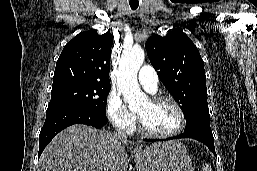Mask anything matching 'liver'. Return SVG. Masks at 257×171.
Returning a JSON list of instances; mask_svg holds the SVG:
<instances>
[{"label":"liver","instance_id":"obj_1","mask_svg":"<svg viewBox=\"0 0 257 171\" xmlns=\"http://www.w3.org/2000/svg\"><path fill=\"white\" fill-rule=\"evenodd\" d=\"M128 143L119 134L72 125L44 149L39 171H127Z\"/></svg>","mask_w":257,"mask_h":171}]
</instances>
